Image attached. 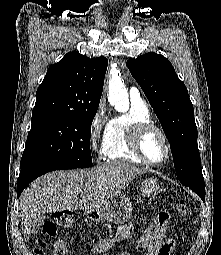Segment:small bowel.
Returning a JSON list of instances; mask_svg holds the SVG:
<instances>
[{"instance_id":"small-bowel-1","label":"small bowel","mask_w":221,"mask_h":255,"mask_svg":"<svg viewBox=\"0 0 221 255\" xmlns=\"http://www.w3.org/2000/svg\"><path fill=\"white\" fill-rule=\"evenodd\" d=\"M135 232L133 224L121 226L113 235L106 236L93 244L91 252L94 255H101L109 251L116 242L131 237ZM177 242L174 237H166V229L162 232L149 234L147 230L138 239L136 250L146 249L145 255H172L175 251ZM124 253L122 255H130Z\"/></svg>"}]
</instances>
